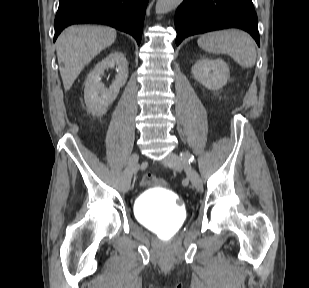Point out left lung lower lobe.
Wrapping results in <instances>:
<instances>
[{
	"mask_svg": "<svg viewBox=\"0 0 309 288\" xmlns=\"http://www.w3.org/2000/svg\"><path fill=\"white\" fill-rule=\"evenodd\" d=\"M176 44L191 35L224 28L249 32L260 46L258 21L251 0H184L175 14Z\"/></svg>",
	"mask_w": 309,
	"mask_h": 288,
	"instance_id": "1",
	"label": "left lung lower lobe"
}]
</instances>
